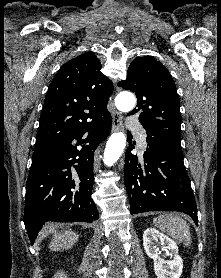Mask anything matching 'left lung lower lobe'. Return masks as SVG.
Returning a JSON list of instances; mask_svg holds the SVG:
<instances>
[{
    "label": "left lung lower lobe",
    "mask_w": 221,
    "mask_h": 278,
    "mask_svg": "<svg viewBox=\"0 0 221 278\" xmlns=\"http://www.w3.org/2000/svg\"><path fill=\"white\" fill-rule=\"evenodd\" d=\"M181 138L147 137L143 162L131 154L125 156L124 181L131 214L148 211H179L198 224L197 207L183 162Z\"/></svg>",
    "instance_id": "obj_1"
}]
</instances>
